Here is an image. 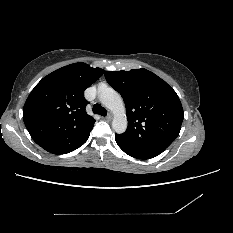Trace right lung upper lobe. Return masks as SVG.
<instances>
[{
    "mask_svg": "<svg viewBox=\"0 0 233 233\" xmlns=\"http://www.w3.org/2000/svg\"><path fill=\"white\" fill-rule=\"evenodd\" d=\"M103 73V69L74 63L50 73L34 87L25 102L23 120L40 147L66 154L87 141L95 120L85 111L84 90Z\"/></svg>",
    "mask_w": 233,
    "mask_h": 233,
    "instance_id": "obj_1",
    "label": "right lung upper lobe"
}]
</instances>
